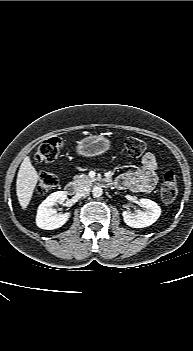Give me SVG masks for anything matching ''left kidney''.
I'll use <instances>...</instances> for the list:
<instances>
[{
	"mask_svg": "<svg viewBox=\"0 0 193 351\" xmlns=\"http://www.w3.org/2000/svg\"><path fill=\"white\" fill-rule=\"evenodd\" d=\"M138 203L145 209V211H124L122 213L124 222L133 228L148 227L156 222L161 214L160 206H158L156 202L146 198L139 199Z\"/></svg>",
	"mask_w": 193,
	"mask_h": 351,
	"instance_id": "obj_1",
	"label": "left kidney"
}]
</instances>
